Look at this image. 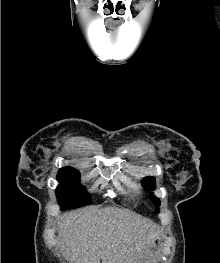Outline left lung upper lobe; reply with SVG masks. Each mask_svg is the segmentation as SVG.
<instances>
[{
	"instance_id": "1",
	"label": "left lung upper lobe",
	"mask_w": 220,
	"mask_h": 263,
	"mask_svg": "<svg viewBox=\"0 0 220 263\" xmlns=\"http://www.w3.org/2000/svg\"><path fill=\"white\" fill-rule=\"evenodd\" d=\"M142 185L147 190H154V186H155L154 178L153 177H147V178L143 179ZM151 198H152L154 205L159 207L160 206L159 199L156 198L153 194L151 195Z\"/></svg>"
}]
</instances>
